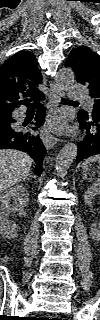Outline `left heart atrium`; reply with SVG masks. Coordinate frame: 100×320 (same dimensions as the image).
Returning <instances> with one entry per match:
<instances>
[{"label": "left heart atrium", "mask_w": 100, "mask_h": 320, "mask_svg": "<svg viewBox=\"0 0 100 320\" xmlns=\"http://www.w3.org/2000/svg\"><path fill=\"white\" fill-rule=\"evenodd\" d=\"M49 128L56 132H67L69 130L66 118L63 114H55L50 118Z\"/></svg>", "instance_id": "39dd6f15"}]
</instances>
